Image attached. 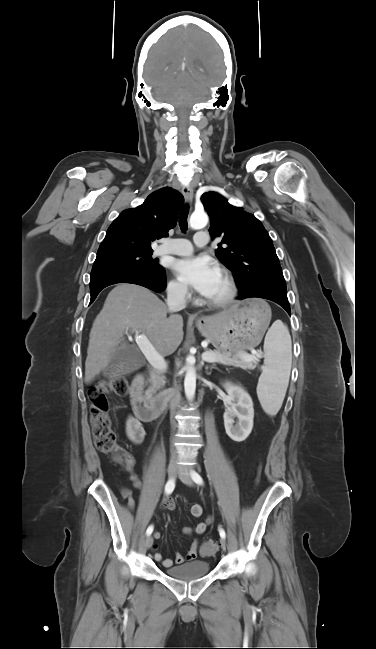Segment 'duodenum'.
<instances>
[{
    "label": "duodenum",
    "mask_w": 376,
    "mask_h": 649,
    "mask_svg": "<svg viewBox=\"0 0 376 649\" xmlns=\"http://www.w3.org/2000/svg\"><path fill=\"white\" fill-rule=\"evenodd\" d=\"M144 376L137 374L130 386L129 396L134 415L143 421H150L156 418L166 404L174 397L171 393H161L157 396L146 399L143 395Z\"/></svg>",
    "instance_id": "duodenum-1"
}]
</instances>
